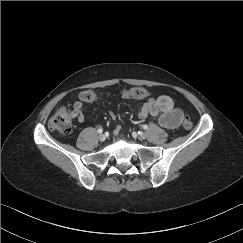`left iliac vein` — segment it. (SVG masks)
Returning <instances> with one entry per match:
<instances>
[{
	"label": "left iliac vein",
	"instance_id": "left-iliac-vein-1",
	"mask_svg": "<svg viewBox=\"0 0 243 243\" xmlns=\"http://www.w3.org/2000/svg\"><path fill=\"white\" fill-rule=\"evenodd\" d=\"M140 137H141V138H145V137H146V134H145V133H141V134H140Z\"/></svg>",
	"mask_w": 243,
	"mask_h": 243
}]
</instances>
